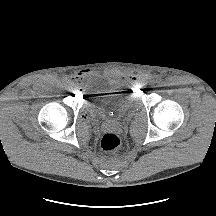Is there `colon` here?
<instances>
[{
	"mask_svg": "<svg viewBox=\"0 0 216 216\" xmlns=\"http://www.w3.org/2000/svg\"><path fill=\"white\" fill-rule=\"evenodd\" d=\"M121 145V140L115 133H106L101 139V148L104 151L117 150Z\"/></svg>",
	"mask_w": 216,
	"mask_h": 216,
	"instance_id": "colon-1",
	"label": "colon"
}]
</instances>
